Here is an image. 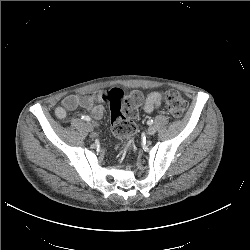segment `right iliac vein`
<instances>
[{
	"label": "right iliac vein",
	"instance_id": "63e3f726",
	"mask_svg": "<svg viewBox=\"0 0 250 250\" xmlns=\"http://www.w3.org/2000/svg\"><path fill=\"white\" fill-rule=\"evenodd\" d=\"M86 128L89 132L93 131L94 130V127L91 123H86Z\"/></svg>",
	"mask_w": 250,
	"mask_h": 250
}]
</instances>
